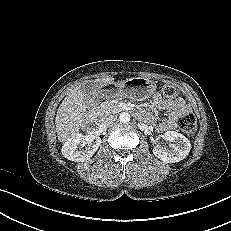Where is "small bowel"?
Here are the masks:
<instances>
[{
    "label": "small bowel",
    "instance_id": "obj_1",
    "mask_svg": "<svg viewBox=\"0 0 231 231\" xmlns=\"http://www.w3.org/2000/svg\"><path fill=\"white\" fill-rule=\"evenodd\" d=\"M152 107L157 110L167 112V116L160 120L156 125L157 130L162 132L173 129L178 117L190 111V108L184 99L180 97L174 99H164L159 93H156L153 96ZM143 115L148 123L153 124L155 122L154 114L147 113Z\"/></svg>",
    "mask_w": 231,
    "mask_h": 231
}]
</instances>
